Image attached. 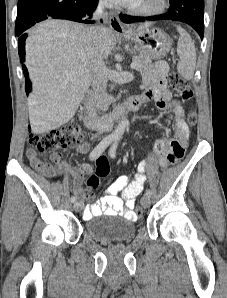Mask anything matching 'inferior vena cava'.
I'll return each instance as SVG.
<instances>
[{
	"label": "inferior vena cava",
	"mask_w": 227,
	"mask_h": 298,
	"mask_svg": "<svg viewBox=\"0 0 227 298\" xmlns=\"http://www.w3.org/2000/svg\"><path fill=\"white\" fill-rule=\"evenodd\" d=\"M107 0H100L99 5L93 14V19L98 20L103 14V10L108 7ZM86 38L88 49L93 63L92 87L99 99H102L107 85L106 66L101 55V47L97 36V27L86 28Z\"/></svg>",
	"instance_id": "inferior-vena-cava-1"
}]
</instances>
